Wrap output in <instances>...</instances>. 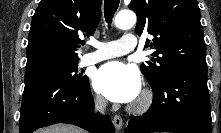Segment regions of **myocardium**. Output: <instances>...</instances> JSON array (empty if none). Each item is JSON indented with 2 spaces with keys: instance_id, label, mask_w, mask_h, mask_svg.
<instances>
[{
  "instance_id": "f54148a6",
  "label": "myocardium",
  "mask_w": 221,
  "mask_h": 133,
  "mask_svg": "<svg viewBox=\"0 0 221 133\" xmlns=\"http://www.w3.org/2000/svg\"><path fill=\"white\" fill-rule=\"evenodd\" d=\"M153 101V94L150 90H145L139 99L132 105L131 110L135 113H143L149 109Z\"/></svg>"
}]
</instances>
